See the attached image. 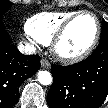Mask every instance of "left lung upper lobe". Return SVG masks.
<instances>
[{
  "label": "left lung upper lobe",
  "instance_id": "obj_1",
  "mask_svg": "<svg viewBox=\"0 0 108 108\" xmlns=\"http://www.w3.org/2000/svg\"><path fill=\"white\" fill-rule=\"evenodd\" d=\"M98 46L108 47V23L103 21L101 40Z\"/></svg>",
  "mask_w": 108,
  "mask_h": 108
}]
</instances>
